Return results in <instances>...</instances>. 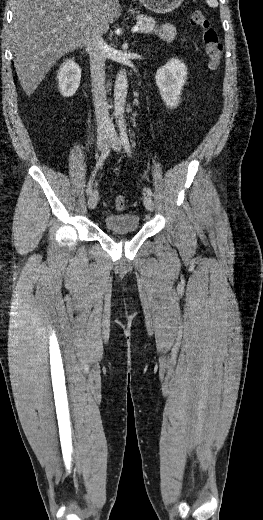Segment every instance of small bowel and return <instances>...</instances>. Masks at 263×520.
<instances>
[{"label":"small bowel","mask_w":263,"mask_h":520,"mask_svg":"<svg viewBox=\"0 0 263 520\" xmlns=\"http://www.w3.org/2000/svg\"><path fill=\"white\" fill-rule=\"evenodd\" d=\"M160 36L166 40H172L175 36V29L171 25H164L160 30Z\"/></svg>","instance_id":"small-bowel-1"}]
</instances>
